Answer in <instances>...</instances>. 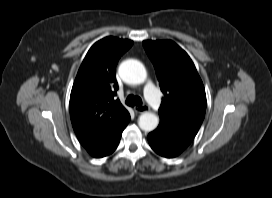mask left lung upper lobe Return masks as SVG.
Returning a JSON list of instances; mask_svg holds the SVG:
<instances>
[{"instance_id": "left-lung-upper-lobe-1", "label": "left lung upper lobe", "mask_w": 272, "mask_h": 198, "mask_svg": "<svg viewBox=\"0 0 272 198\" xmlns=\"http://www.w3.org/2000/svg\"><path fill=\"white\" fill-rule=\"evenodd\" d=\"M143 46L164 93L159 115L200 128L206 111V94L190 57L171 40H147Z\"/></svg>"}]
</instances>
